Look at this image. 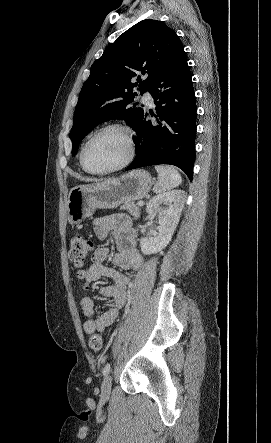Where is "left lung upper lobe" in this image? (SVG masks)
Masks as SVG:
<instances>
[{"label":"left lung upper lobe","mask_w":271,"mask_h":443,"mask_svg":"<svg viewBox=\"0 0 271 443\" xmlns=\"http://www.w3.org/2000/svg\"><path fill=\"white\" fill-rule=\"evenodd\" d=\"M181 44L176 32L165 23L147 19L132 26L105 49L91 66L75 108L69 135L73 155L87 133L102 122L121 119L136 129L144 109L135 108L136 103L130 106L137 95L133 88L138 87L141 94L148 91L154 74Z\"/></svg>","instance_id":"obj_1"}]
</instances>
